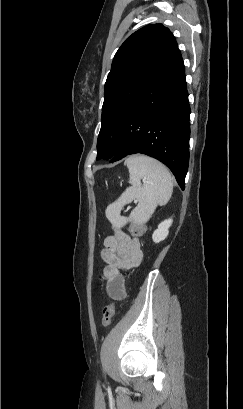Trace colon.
Here are the masks:
<instances>
[{
    "mask_svg": "<svg viewBox=\"0 0 243 409\" xmlns=\"http://www.w3.org/2000/svg\"><path fill=\"white\" fill-rule=\"evenodd\" d=\"M143 232V226H139L136 228L134 231L135 234L140 235ZM115 315V308L113 305H107L104 307L103 312H102V325L104 327L110 326L113 317Z\"/></svg>",
    "mask_w": 243,
    "mask_h": 409,
    "instance_id": "colon-1",
    "label": "colon"
}]
</instances>
